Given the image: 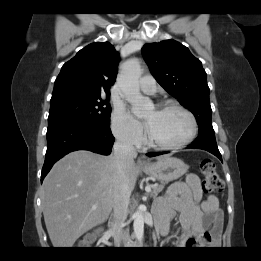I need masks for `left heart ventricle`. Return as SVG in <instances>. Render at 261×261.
<instances>
[{"label": "left heart ventricle", "mask_w": 261, "mask_h": 261, "mask_svg": "<svg viewBox=\"0 0 261 261\" xmlns=\"http://www.w3.org/2000/svg\"><path fill=\"white\" fill-rule=\"evenodd\" d=\"M151 137L160 143L171 144L184 139L190 131V122L181 111L151 109L145 114Z\"/></svg>", "instance_id": "b2bd125f"}]
</instances>
